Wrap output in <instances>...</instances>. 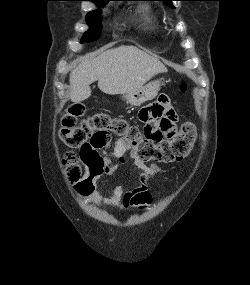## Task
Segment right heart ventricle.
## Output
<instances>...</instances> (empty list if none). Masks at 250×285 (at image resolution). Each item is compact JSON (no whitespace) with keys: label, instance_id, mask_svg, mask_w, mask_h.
Listing matches in <instances>:
<instances>
[{"label":"right heart ventricle","instance_id":"1","mask_svg":"<svg viewBox=\"0 0 250 285\" xmlns=\"http://www.w3.org/2000/svg\"><path fill=\"white\" fill-rule=\"evenodd\" d=\"M148 24L152 26L154 24V22L152 20H149Z\"/></svg>","mask_w":250,"mask_h":285}]
</instances>
